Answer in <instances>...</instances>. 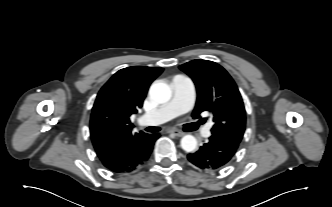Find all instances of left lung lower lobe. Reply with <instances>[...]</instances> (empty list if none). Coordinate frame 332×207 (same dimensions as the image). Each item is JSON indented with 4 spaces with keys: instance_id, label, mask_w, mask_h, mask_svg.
I'll list each match as a JSON object with an SVG mask.
<instances>
[{
    "instance_id": "0a47b994",
    "label": "left lung lower lobe",
    "mask_w": 332,
    "mask_h": 207,
    "mask_svg": "<svg viewBox=\"0 0 332 207\" xmlns=\"http://www.w3.org/2000/svg\"><path fill=\"white\" fill-rule=\"evenodd\" d=\"M239 144L221 136L212 135L198 151L188 154V160L203 171H217L234 156Z\"/></svg>"
}]
</instances>
